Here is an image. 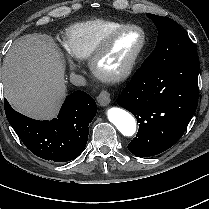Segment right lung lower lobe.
I'll use <instances>...</instances> for the list:
<instances>
[{
	"instance_id": "right-lung-lower-lobe-1",
	"label": "right lung lower lobe",
	"mask_w": 209,
	"mask_h": 209,
	"mask_svg": "<svg viewBox=\"0 0 209 209\" xmlns=\"http://www.w3.org/2000/svg\"><path fill=\"white\" fill-rule=\"evenodd\" d=\"M8 122L23 144L36 156L48 161L66 162L84 150L89 123L97 112L94 99L83 91L67 96L57 118L40 121L28 118L4 100Z\"/></svg>"
}]
</instances>
